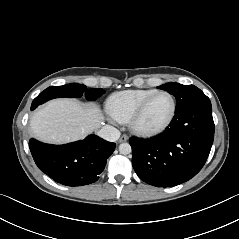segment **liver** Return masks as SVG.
Here are the masks:
<instances>
[{
    "instance_id": "liver-1",
    "label": "liver",
    "mask_w": 239,
    "mask_h": 239,
    "mask_svg": "<svg viewBox=\"0 0 239 239\" xmlns=\"http://www.w3.org/2000/svg\"><path fill=\"white\" fill-rule=\"evenodd\" d=\"M103 120L102 111L96 104L56 99L34 112L30 130L44 142L65 143L97 131Z\"/></svg>"
}]
</instances>
